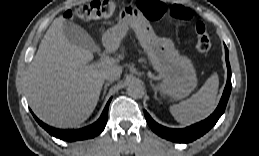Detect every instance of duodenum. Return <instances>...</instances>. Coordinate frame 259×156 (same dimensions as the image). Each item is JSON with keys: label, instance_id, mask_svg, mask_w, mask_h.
Listing matches in <instances>:
<instances>
[{"label": "duodenum", "instance_id": "410a0bca", "mask_svg": "<svg viewBox=\"0 0 259 156\" xmlns=\"http://www.w3.org/2000/svg\"><path fill=\"white\" fill-rule=\"evenodd\" d=\"M110 50H111V48H110L109 46H107V47L105 48V53H109Z\"/></svg>", "mask_w": 259, "mask_h": 156}]
</instances>
